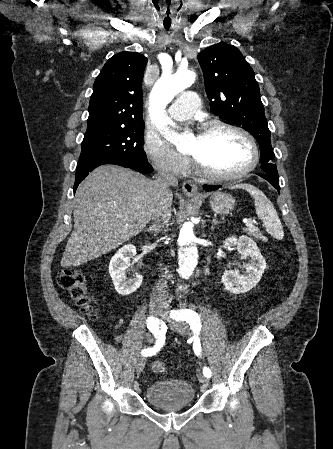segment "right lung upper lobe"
Returning a JSON list of instances; mask_svg holds the SVG:
<instances>
[{"label": "right lung upper lobe", "mask_w": 333, "mask_h": 449, "mask_svg": "<svg viewBox=\"0 0 333 449\" xmlns=\"http://www.w3.org/2000/svg\"><path fill=\"white\" fill-rule=\"evenodd\" d=\"M147 58L137 52L111 57L93 86L87 127L143 122L142 80Z\"/></svg>", "instance_id": "right-lung-upper-lobe-1"}]
</instances>
